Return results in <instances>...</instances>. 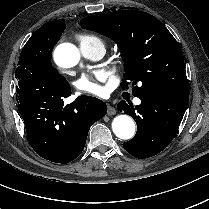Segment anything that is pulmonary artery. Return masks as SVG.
Wrapping results in <instances>:
<instances>
[{"instance_id": "e3ab8cb5", "label": "pulmonary artery", "mask_w": 209, "mask_h": 209, "mask_svg": "<svg viewBox=\"0 0 209 209\" xmlns=\"http://www.w3.org/2000/svg\"><path fill=\"white\" fill-rule=\"evenodd\" d=\"M80 49L85 57H88L92 60H100L105 54V49L102 45H95L89 47L81 46ZM133 102L136 105L141 103L140 99L138 98H134Z\"/></svg>"}]
</instances>
